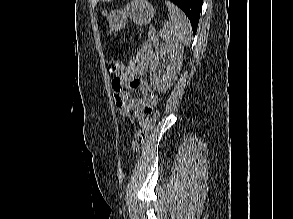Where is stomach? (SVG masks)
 Instances as JSON below:
<instances>
[{
    "mask_svg": "<svg viewBox=\"0 0 293 219\" xmlns=\"http://www.w3.org/2000/svg\"><path fill=\"white\" fill-rule=\"evenodd\" d=\"M155 8L147 0H132L123 9L111 10L106 16V25L110 35L124 28L127 19L137 25H147L154 17Z\"/></svg>",
    "mask_w": 293,
    "mask_h": 219,
    "instance_id": "0dacf381",
    "label": "stomach"
}]
</instances>
